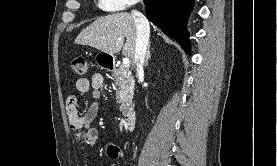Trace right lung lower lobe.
Wrapping results in <instances>:
<instances>
[{
	"label": "right lung lower lobe",
	"instance_id": "98d812e1",
	"mask_svg": "<svg viewBox=\"0 0 277 166\" xmlns=\"http://www.w3.org/2000/svg\"><path fill=\"white\" fill-rule=\"evenodd\" d=\"M144 2L147 18L189 52V33L185 27L194 0H144Z\"/></svg>",
	"mask_w": 277,
	"mask_h": 166
}]
</instances>
